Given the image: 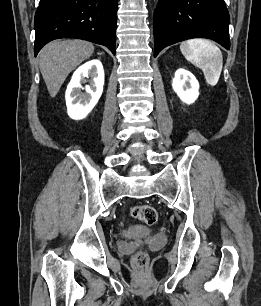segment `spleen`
<instances>
[{
    "mask_svg": "<svg viewBox=\"0 0 261 306\" xmlns=\"http://www.w3.org/2000/svg\"><path fill=\"white\" fill-rule=\"evenodd\" d=\"M180 50L184 57L202 69L207 83L215 86L220 78L223 57L221 50L207 39H190L182 42Z\"/></svg>",
    "mask_w": 261,
    "mask_h": 306,
    "instance_id": "1",
    "label": "spleen"
}]
</instances>
